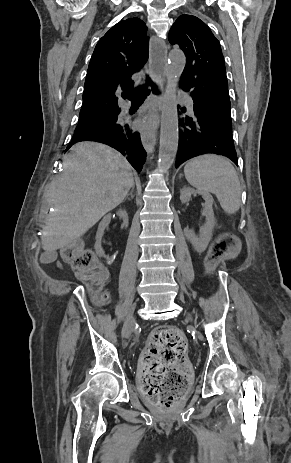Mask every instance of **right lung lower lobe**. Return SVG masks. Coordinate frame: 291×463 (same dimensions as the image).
<instances>
[{"label": "right lung lower lobe", "instance_id": "98d812e1", "mask_svg": "<svg viewBox=\"0 0 291 463\" xmlns=\"http://www.w3.org/2000/svg\"><path fill=\"white\" fill-rule=\"evenodd\" d=\"M81 141L101 142L115 148L138 172L142 170L146 160L147 154L142 146L139 133L132 132L128 124L117 122V118L108 123L75 132L67 148Z\"/></svg>", "mask_w": 291, "mask_h": 463}]
</instances>
